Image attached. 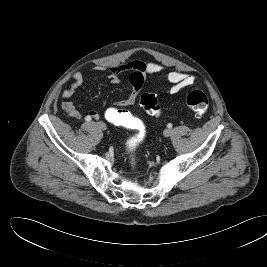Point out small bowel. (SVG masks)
<instances>
[{
  "instance_id": "small-bowel-1",
  "label": "small bowel",
  "mask_w": 267,
  "mask_h": 267,
  "mask_svg": "<svg viewBox=\"0 0 267 267\" xmlns=\"http://www.w3.org/2000/svg\"><path fill=\"white\" fill-rule=\"evenodd\" d=\"M123 71H130V81L133 86L132 93L124 100L115 103V105L123 107L130 106L135 103V100L142 89L147 77L160 75L164 71V66L157 62H142L139 60H132L123 65L113 66L110 68V73L107 76L108 81L117 85L120 83L119 74ZM164 78L170 84L168 92L176 94L182 89L194 84L195 77L184 72H170L164 75ZM72 83L69 87L63 90L62 108L72 118H80L82 113L75 107L71 101L72 96L76 90L83 84L84 77L80 72H74L72 75ZM99 119V114L96 111H89L86 118Z\"/></svg>"
}]
</instances>
